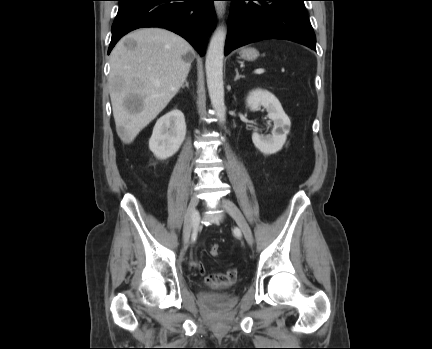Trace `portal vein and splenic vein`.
<instances>
[{"label": "portal vein and splenic vein", "mask_w": 432, "mask_h": 349, "mask_svg": "<svg viewBox=\"0 0 432 349\" xmlns=\"http://www.w3.org/2000/svg\"><path fill=\"white\" fill-rule=\"evenodd\" d=\"M256 74H262L265 72V70L263 68H258L254 71Z\"/></svg>", "instance_id": "portal-vein-and-splenic-vein-1"}]
</instances>
